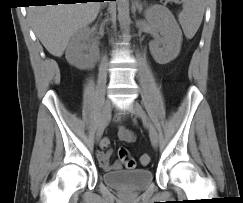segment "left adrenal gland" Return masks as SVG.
<instances>
[{
  "label": "left adrenal gland",
  "instance_id": "left-adrenal-gland-1",
  "mask_svg": "<svg viewBox=\"0 0 243 203\" xmlns=\"http://www.w3.org/2000/svg\"><path fill=\"white\" fill-rule=\"evenodd\" d=\"M134 7H135V9L138 10L139 13H141L142 10H143V4L139 0L135 1V6Z\"/></svg>",
  "mask_w": 243,
  "mask_h": 203
}]
</instances>
